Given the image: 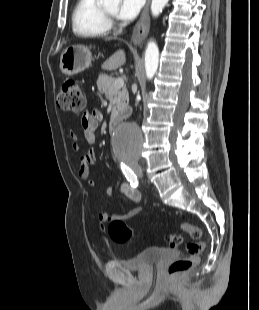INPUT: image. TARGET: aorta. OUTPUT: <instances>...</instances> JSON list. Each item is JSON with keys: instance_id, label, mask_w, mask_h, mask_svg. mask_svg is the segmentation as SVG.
Wrapping results in <instances>:
<instances>
[{"instance_id": "obj_1", "label": "aorta", "mask_w": 259, "mask_h": 310, "mask_svg": "<svg viewBox=\"0 0 259 310\" xmlns=\"http://www.w3.org/2000/svg\"><path fill=\"white\" fill-rule=\"evenodd\" d=\"M169 0H152L151 13L157 17ZM105 5H117L120 0H103ZM159 63V50L155 42L150 41L145 51L146 76L150 80L154 77ZM143 135L141 130L132 124L122 125L115 133L114 148L120 156L137 155L142 147Z\"/></svg>"}]
</instances>
